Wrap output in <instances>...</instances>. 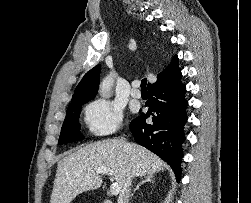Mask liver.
Returning <instances> with one entry per match:
<instances>
[{"instance_id": "obj_1", "label": "liver", "mask_w": 251, "mask_h": 203, "mask_svg": "<svg viewBox=\"0 0 251 203\" xmlns=\"http://www.w3.org/2000/svg\"><path fill=\"white\" fill-rule=\"evenodd\" d=\"M108 167L123 188L126 179L163 171L165 163L146 148L123 140L89 144L58 162L50 203H71L79 194L98 189L102 178L94 171Z\"/></svg>"}]
</instances>
